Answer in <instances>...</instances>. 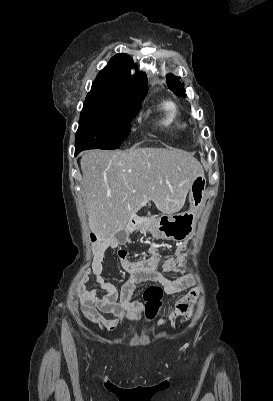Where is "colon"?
<instances>
[{
    "label": "colon",
    "instance_id": "colon-1",
    "mask_svg": "<svg viewBox=\"0 0 273 401\" xmlns=\"http://www.w3.org/2000/svg\"><path fill=\"white\" fill-rule=\"evenodd\" d=\"M96 291L94 288H80L78 295L80 297H94ZM146 300L144 304L143 314L148 323L153 322L159 315L162 309V288L158 285H150L149 289L145 291Z\"/></svg>",
    "mask_w": 273,
    "mask_h": 401
}]
</instances>
